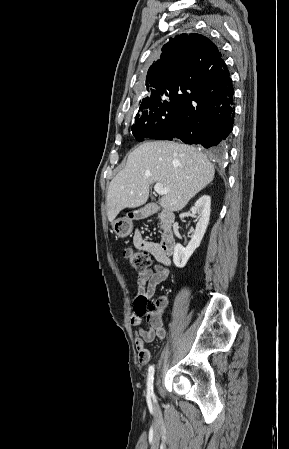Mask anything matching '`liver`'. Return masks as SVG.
<instances>
[{
  "label": "liver",
  "instance_id": "1",
  "mask_svg": "<svg viewBox=\"0 0 289 449\" xmlns=\"http://www.w3.org/2000/svg\"><path fill=\"white\" fill-rule=\"evenodd\" d=\"M214 174L206 155L193 146L169 141L143 143L129 154L125 168L109 185L108 219L113 224L121 210L145 204L154 182L169 190L160 199L161 207L179 211L214 179Z\"/></svg>",
  "mask_w": 289,
  "mask_h": 449
}]
</instances>
